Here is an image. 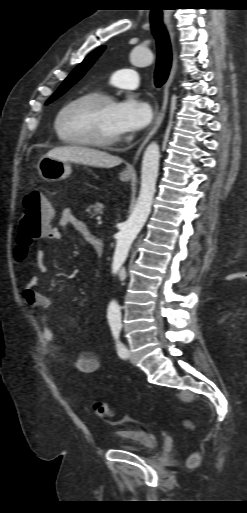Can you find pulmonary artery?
<instances>
[{"label": "pulmonary artery", "mask_w": 247, "mask_h": 513, "mask_svg": "<svg viewBox=\"0 0 247 513\" xmlns=\"http://www.w3.org/2000/svg\"><path fill=\"white\" fill-rule=\"evenodd\" d=\"M110 83L120 88L136 89L140 85V78L134 69H121L111 75Z\"/></svg>", "instance_id": "pulmonary-artery-1"}]
</instances>
